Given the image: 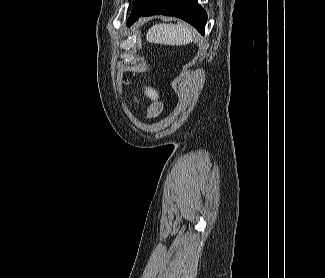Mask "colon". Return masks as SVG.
<instances>
[{
  "instance_id": "5ec220e1",
  "label": "colon",
  "mask_w": 325,
  "mask_h": 278,
  "mask_svg": "<svg viewBox=\"0 0 325 278\" xmlns=\"http://www.w3.org/2000/svg\"><path fill=\"white\" fill-rule=\"evenodd\" d=\"M146 93L149 97L153 98V99H157L158 97V92L155 88L151 87V86H147L146 87Z\"/></svg>"
}]
</instances>
